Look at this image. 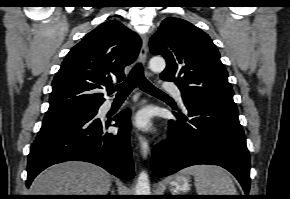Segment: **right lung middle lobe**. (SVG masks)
I'll return each instance as SVG.
<instances>
[{
    "label": "right lung middle lobe",
    "mask_w": 290,
    "mask_h": 199,
    "mask_svg": "<svg viewBox=\"0 0 290 199\" xmlns=\"http://www.w3.org/2000/svg\"><path fill=\"white\" fill-rule=\"evenodd\" d=\"M99 106H93V107H88L64 114H59V115H51V116H45L44 120L48 119H63V118H71V117H80V116H86L90 114H97Z\"/></svg>",
    "instance_id": "obj_1"
}]
</instances>
